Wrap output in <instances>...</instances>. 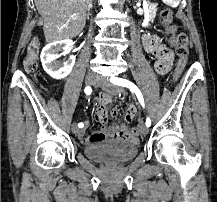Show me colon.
<instances>
[{
	"label": "colon",
	"instance_id": "obj_1",
	"mask_svg": "<svg viewBox=\"0 0 217 202\" xmlns=\"http://www.w3.org/2000/svg\"><path fill=\"white\" fill-rule=\"evenodd\" d=\"M162 23L166 27V32L170 36L172 44L175 48L176 54L179 57V61L176 66V73H180L187 61L190 49V39L187 34L177 32L176 26L171 24L172 13L168 8H163L160 11ZM40 47V40L38 37H33L27 47L26 56L23 62L24 70L29 75H34L37 71V57ZM132 132H138V127H132Z\"/></svg>",
	"mask_w": 217,
	"mask_h": 202
}]
</instances>
